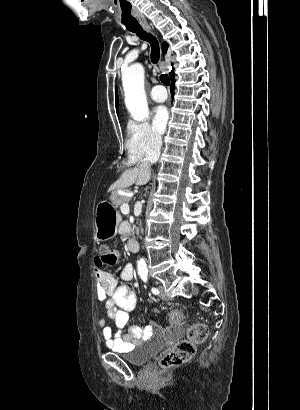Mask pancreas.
Returning a JSON list of instances; mask_svg holds the SVG:
<instances>
[{"label":"pancreas","instance_id":"obj_1","mask_svg":"<svg viewBox=\"0 0 300 410\" xmlns=\"http://www.w3.org/2000/svg\"><path fill=\"white\" fill-rule=\"evenodd\" d=\"M129 200H130V198L118 194L117 198L115 200V204H116V206H121L124 203H127Z\"/></svg>","mask_w":300,"mask_h":410}]
</instances>
